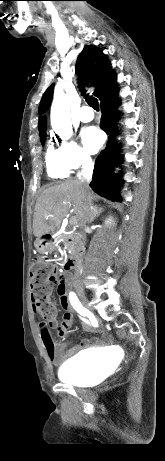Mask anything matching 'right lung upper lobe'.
<instances>
[{
  "mask_svg": "<svg viewBox=\"0 0 165 461\" xmlns=\"http://www.w3.org/2000/svg\"><path fill=\"white\" fill-rule=\"evenodd\" d=\"M76 70L86 83L90 81L95 86L94 95L101 103L115 96L117 83L114 79V72L111 70L110 62L106 56L94 45L84 46L76 62ZM53 94V85L44 93L38 112L42 114L47 110ZM38 129L40 136L46 134L45 118L39 116Z\"/></svg>",
  "mask_w": 165,
  "mask_h": 461,
  "instance_id": "1",
  "label": "right lung upper lobe"
}]
</instances>
